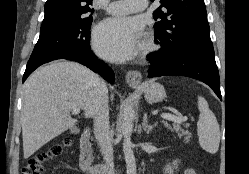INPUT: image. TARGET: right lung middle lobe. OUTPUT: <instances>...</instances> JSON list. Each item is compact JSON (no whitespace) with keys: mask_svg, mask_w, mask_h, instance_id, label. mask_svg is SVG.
<instances>
[{"mask_svg":"<svg viewBox=\"0 0 249 174\" xmlns=\"http://www.w3.org/2000/svg\"><path fill=\"white\" fill-rule=\"evenodd\" d=\"M91 23L92 17H87L41 26L39 40L30 59L47 52L90 51Z\"/></svg>","mask_w":249,"mask_h":174,"instance_id":"obj_1","label":"right lung middle lobe"}]
</instances>
